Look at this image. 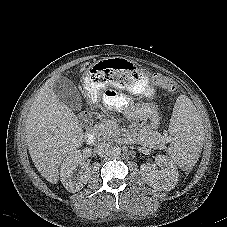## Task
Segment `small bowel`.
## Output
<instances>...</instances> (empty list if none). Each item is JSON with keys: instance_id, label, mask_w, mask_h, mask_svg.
<instances>
[{"instance_id": "small-bowel-1", "label": "small bowel", "mask_w": 227, "mask_h": 227, "mask_svg": "<svg viewBox=\"0 0 227 227\" xmlns=\"http://www.w3.org/2000/svg\"><path fill=\"white\" fill-rule=\"evenodd\" d=\"M103 103L106 108L110 109L122 104L123 99L118 97L114 93L107 92L104 96ZM155 126H156V122H152L151 128H154Z\"/></svg>"}]
</instances>
